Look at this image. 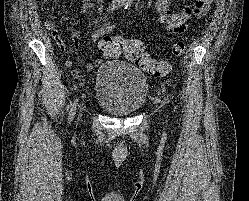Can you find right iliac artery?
Listing matches in <instances>:
<instances>
[{
  "mask_svg": "<svg viewBox=\"0 0 249 201\" xmlns=\"http://www.w3.org/2000/svg\"><path fill=\"white\" fill-rule=\"evenodd\" d=\"M126 0H114L110 6H109V12H112L120 7H122L123 5H125ZM77 102V100H76ZM76 102L73 104L70 113H69V122L72 121L73 116L75 115V110H76Z\"/></svg>",
  "mask_w": 249,
  "mask_h": 201,
  "instance_id": "1",
  "label": "right iliac artery"
}]
</instances>
